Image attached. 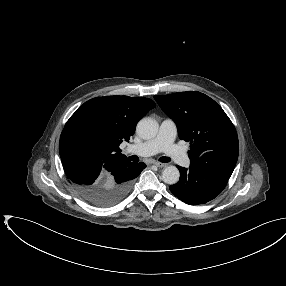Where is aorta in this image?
<instances>
[{"mask_svg":"<svg viewBox=\"0 0 286 286\" xmlns=\"http://www.w3.org/2000/svg\"><path fill=\"white\" fill-rule=\"evenodd\" d=\"M158 123L152 118H143L137 124V134L142 139H151L158 133ZM180 173L175 166H167L162 171V180L164 183L173 185L179 181Z\"/></svg>","mask_w":286,"mask_h":286,"instance_id":"1","label":"aorta"}]
</instances>
